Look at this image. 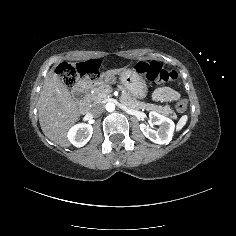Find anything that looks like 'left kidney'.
I'll return each mask as SVG.
<instances>
[{
  "label": "left kidney",
  "mask_w": 236,
  "mask_h": 236,
  "mask_svg": "<svg viewBox=\"0 0 236 236\" xmlns=\"http://www.w3.org/2000/svg\"><path fill=\"white\" fill-rule=\"evenodd\" d=\"M149 118L154 125H159V129L153 130L145 124H140V130L144 136L156 144L169 143L173 137L175 128L174 122L156 111H151L149 113Z\"/></svg>",
  "instance_id": "obj_1"
}]
</instances>
